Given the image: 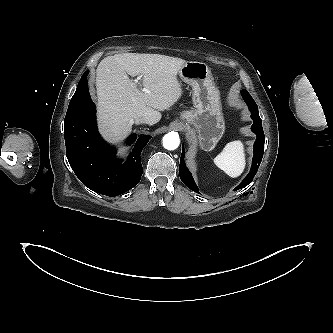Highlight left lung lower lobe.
<instances>
[{
  "mask_svg": "<svg viewBox=\"0 0 333 333\" xmlns=\"http://www.w3.org/2000/svg\"><path fill=\"white\" fill-rule=\"evenodd\" d=\"M241 93H242L243 99L248 104L249 109L252 113L251 117L254 120V124L252 125L251 129L254 133H256L257 140L254 143V156H253L251 170H250L249 174L246 176V178L234 189L235 191L247 186L254 178V176L257 172V169L261 163L262 157H263L264 140H265L264 132L262 129V121L259 117L258 107H257L255 101L253 100V98L250 96L249 93H243V91ZM179 174H180L181 180L188 188L199 193L198 187L196 186V184L191 176V173L189 172V170L187 169V167L185 166V163H184V147L182 148Z\"/></svg>",
  "mask_w": 333,
  "mask_h": 333,
  "instance_id": "1",
  "label": "left lung lower lobe"
}]
</instances>
